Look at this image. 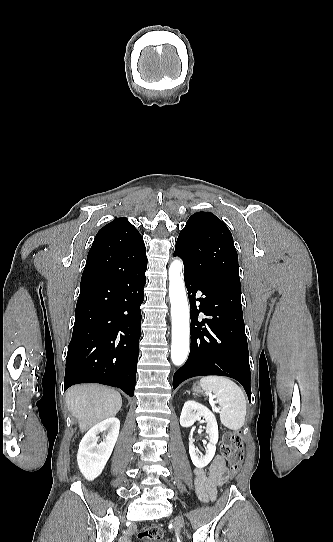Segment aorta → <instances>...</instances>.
I'll return each instance as SVG.
<instances>
[{"instance_id": "1", "label": "aorta", "mask_w": 333, "mask_h": 542, "mask_svg": "<svg viewBox=\"0 0 333 542\" xmlns=\"http://www.w3.org/2000/svg\"><path fill=\"white\" fill-rule=\"evenodd\" d=\"M182 270L181 260H174L169 268L172 318L171 360L174 366L185 364L189 354V308Z\"/></svg>"}]
</instances>
